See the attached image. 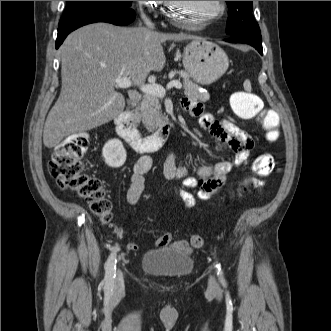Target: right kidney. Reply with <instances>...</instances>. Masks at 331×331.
Segmentation results:
<instances>
[{
	"label": "right kidney",
	"instance_id": "ca27d5eb",
	"mask_svg": "<svg viewBox=\"0 0 331 331\" xmlns=\"http://www.w3.org/2000/svg\"><path fill=\"white\" fill-rule=\"evenodd\" d=\"M102 155L108 166L121 167L126 161V151L119 139L109 140L103 147Z\"/></svg>",
	"mask_w": 331,
	"mask_h": 331
}]
</instances>
